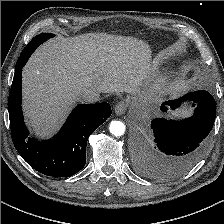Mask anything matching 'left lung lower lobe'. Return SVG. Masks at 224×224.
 <instances>
[{
	"mask_svg": "<svg viewBox=\"0 0 224 224\" xmlns=\"http://www.w3.org/2000/svg\"><path fill=\"white\" fill-rule=\"evenodd\" d=\"M197 105L194 115L182 121L153 119L151 129L157 146L139 144L136 166L142 173L167 178L182 173L201 157L205 141L213 128L216 103L204 90L189 93L180 99L166 101L161 110L178 109L182 102Z\"/></svg>",
	"mask_w": 224,
	"mask_h": 224,
	"instance_id": "0a47b994",
	"label": "left lung lower lobe"
}]
</instances>
